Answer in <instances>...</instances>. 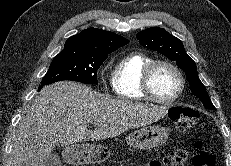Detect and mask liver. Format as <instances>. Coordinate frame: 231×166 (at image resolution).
I'll return each instance as SVG.
<instances>
[{
    "label": "liver",
    "mask_w": 231,
    "mask_h": 166,
    "mask_svg": "<svg viewBox=\"0 0 231 166\" xmlns=\"http://www.w3.org/2000/svg\"><path fill=\"white\" fill-rule=\"evenodd\" d=\"M167 109L115 100L86 85L62 81L42 88L12 139L13 166H46L55 146L103 140L163 118ZM92 124L94 130L87 129Z\"/></svg>",
    "instance_id": "obj_1"
}]
</instances>
